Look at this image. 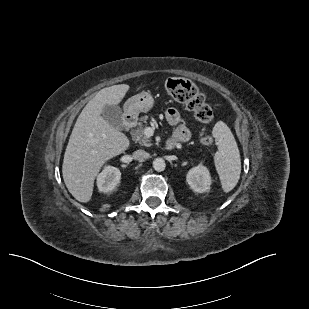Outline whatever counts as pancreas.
<instances>
[{"instance_id": "obj_1", "label": "pancreas", "mask_w": 309, "mask_h": 309, "mask_svg": "<svg viewBox=\"0 0 309 309\" xmlns=\"http://www.w3.org/2000/svg\"><path fill=\"white\" fill-rule=\"evenodd\" d=\"M147 126V118H141V122L138 123V127L131 131L132 139L138 142L142 146H151V140L145 135V128Z\"/></svg>"}]
</instances>
